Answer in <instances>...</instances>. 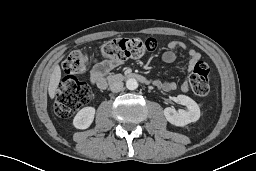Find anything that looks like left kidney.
<instances>
[{
    "label": "left kidney",
    "mask_w": 256,
    "mask_h": 171,
    "mask_svg": "<svg viewBox=\"0 0 256 171\" xmlns=\"http://www.w3.org/2000/svg\"><path fill=\"white\" fill-rule=\"evenodd\" d=\"M175 102L187 107V110H176L173 107L164 109V116L167 121L175 126H185L191 122H196L200 118V108L198 104L186 95H177Z\"/></svg>",
    "instance_id": "5707ae66"
}]
</instances>
